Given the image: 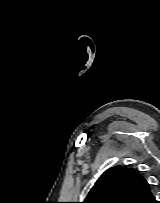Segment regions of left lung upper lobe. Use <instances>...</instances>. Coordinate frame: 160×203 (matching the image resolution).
<instances>
[{"label": "left lung upper lobe", "mask_w": 160, "mask_h": 203, "mask_svg": "<svg viewBox=\"0 0 160 203\" xmlns=\"http://www.w3.org/2000/svg\"><path fill=\"white\" fill-rule=\"evenodd\" d=\"M83 203H159L139 171L115 166L96 181Z\"/></svg>", "instance_id": "1"}]
</instances>
